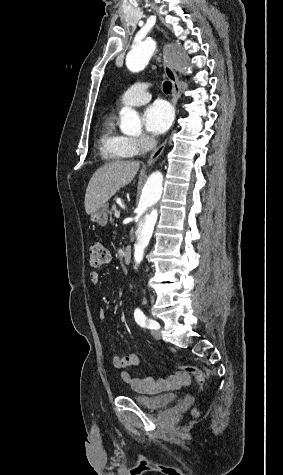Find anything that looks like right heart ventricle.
<instances>
[{
    "instance_id": "right-heart-ventricle-1",
    "label": "right heart ventricle",
    "mask_w": 283,
    "mask_h": 475,
    "mask_svg": "<svg viewBox=\"0 0 283 475\" xmlns=\"http://www.w3.org/2000/svg\"><path fill=\"white\" fill-rule=\"evenodd\" d=\"M127 138L120 132L113 115L105 117L100 124L99 147L109 161H121L129 157Z\"/></svg>"
}]
</instances>
